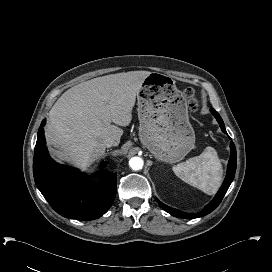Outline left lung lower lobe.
<instances>
[{
  "mask_svg": "<svg viewBox=\"0 0 272 272\" xmlns=\"http://www.w3.org/2000/svg\"><path fill=\"white\" fill-rule=\"evenodd\" d=\"M210 111L212 112V114L217 119L222 131L227 134V132L225 130L224 123H223V120L221 119L220 115L214 109H210ZM230 148H231V156H230V160H229V163H228V170H227L226 178H225L220 190L218 191V193L214 197V199L208 205H206L205 208L201 212L196 213V214H188V213H185V212H181V211H179L177 209H173V208H171L169 206H166L165 204L161 203L157 199V202L160 205V207H162L165 211H167L168 213H170L171 215H173L175 217L186 218V219H193V218L201 217V216H204V215L212 212L219 205V203L221 202L222 198L224 197L226 191L228 190V188H229V186H230V184L233 181L234 176H235L236 149H235V146H234L233 142H231Z\"/></svg>",
  "mask_w": 272,
  "mask_h": 272,
  "instance_id": "0a47b994",
  "label": "left lung lower lobe"
}]
</instances>
